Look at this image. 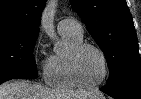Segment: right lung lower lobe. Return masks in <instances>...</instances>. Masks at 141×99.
Returning <instances> with one entry per match:
<instances>
[{
  "instance_id": "1",
  "label": "right lung lower lobe",
  "mask_w": 141,
  "mask_h": 99,
  "mask_svg": "<svg viewBox=\"0 0 141 99\" xmlns=\"http://www.w3.org/2000/svg\"><path fill=\"white\" fill-rule=\"evenodd\" d=\"M21 77H29V75H22V74H18V75H11V76H6L3 78H0V84H2L5 81L14 79V78H21Z\"/></svg>"
}]
</instances>
